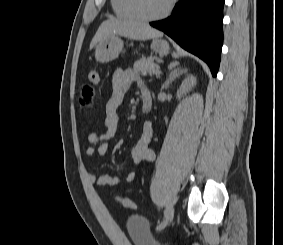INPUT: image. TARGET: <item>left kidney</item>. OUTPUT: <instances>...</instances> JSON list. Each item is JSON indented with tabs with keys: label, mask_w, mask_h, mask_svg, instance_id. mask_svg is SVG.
<instances>
[{
	"label": "left kidney",
	"mask_w": 283,
	"mask_h": 245,
	"mask_svg": "<svg viewBox=\"0 0 283 245\" xmlns=\"http://www.w3.org/2000/svg\"><path fill=\"white\" fill-rule=\"evenodd\" d=\"M196 85V78L192 75L185 78L181 84L180 89L177 92L178 97L189 92Z\"/></svg>",
	"instance_id": "5707ae66"
}]
</instances>
